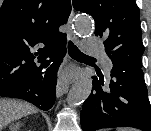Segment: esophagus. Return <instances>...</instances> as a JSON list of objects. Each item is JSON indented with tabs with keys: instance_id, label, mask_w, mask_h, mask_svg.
I'll return each mask as SVG.
<instances>
[{
	"instance_id": "esophagus-1",
	"label": "esophagus",
	"mask_w": 151,
	"mask_h": 131,
	"mask_svg": "<svg viewBox=\"0 0 151 131\" xmlns=\"http://www.w3.org/2000/svg\"><path fill=\"white\" fill-rule=\"evenodd\" d=\"M73 16H74V11L72 9L71 11V14L69 16V19H68V22H67V26H68V36L70 39L72 40H76L77 37L76 35L74 34L72 28H71V24H72V19H73ZM74 81V79H73ZM69 84L70 82L65 80V79H59L58 82H57V87H56V94H57V97H60L62 96L64 93H66L68 91V88H69Z\"/></svg>"
}]
</instances>
